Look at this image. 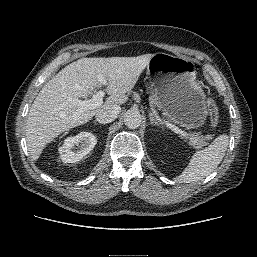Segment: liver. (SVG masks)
Instances as JSON below:
<instances>
[{"label": "liver", "mask_w": 257, "mask_h": 257, "mask_svg": "<svg viewBox=\"0 0 257 257\" xmlns=\"http://www.w3.org/2000/svg\"><path fill=\"white\" fill-rule=\"evenodd\" d=\"M152 56L81 58L59 71L40 90L28 114L26 140L32 159L38 160L46 145L62 132L90 121L97 110L127 102L126 94ZM97 75L107 79L105 91L110 96L100 107L77 114L78 107L71 100L92 94L101 85Z\"/></svg>", "instance_id": "liver-1"}]
</instances>
